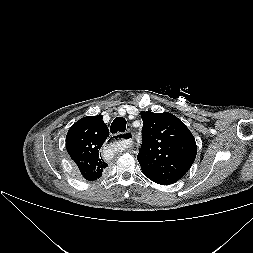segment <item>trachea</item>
<instances>
[{
	"label": "trachea",
	"instance_id": "trachea-1",
	"mask_svg": "<svg viewBox=\"0 0 253 253\" xmlns=\"http://www.w3.org/2000/svg\"><path fill=\"white\" fill-rule=\"evenodd\" d=\"M126 130V120L123 117H117L111 124L110 131L115 134L117 132H124ZM122 138V136H118Z\"/></svg>",
	"mask_w": 253,
	"mask_h": 253
}]
</instances>
